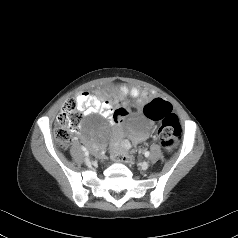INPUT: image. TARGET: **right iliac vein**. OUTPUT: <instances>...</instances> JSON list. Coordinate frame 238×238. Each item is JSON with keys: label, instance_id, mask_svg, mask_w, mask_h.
<instances>
[{"label": "right iliac vein", "instance_id": "right-iliac-vein-1", "mask_svg": "<svg viewBox=\"0 0 238 238\" xmlns=\"http://www.w3.org/2000/svg\"><path fill=\"white\" fill-rule=\"evenodd\" d=\"M85 163L90 164V159L88 157L85 158Z\"/></svg>", "mask_w": 238, "mask_h": 238}]
</instances>
